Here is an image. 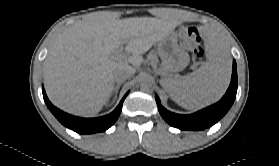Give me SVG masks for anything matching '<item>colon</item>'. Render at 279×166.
Masks as SVG:
<instances>
[{
    "instance_id": "1",
    "label": "colon",
    "mask_w": 279,
    "mask_h": 166,
    "mask_svg": "<svg viewBox=\"0 0 279 166\" xmlns=\"http://www.w3.org/2000/svg\"><path fill=\"white\" fill-rule=\"evenodd\" d=\"M180 45L189 51L196 62H200L204 55L200 34L193 25H183L177 30Z\"/></svg>"
}]
</instances>
